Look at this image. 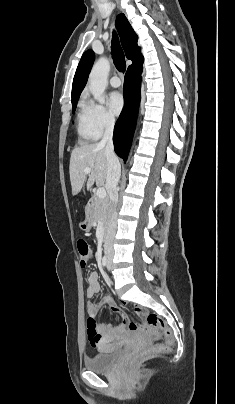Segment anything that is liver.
<instances>
[{"mask_svg":"<svg viewBox=\"0 0 235 404\" xmlns=\"http://www.w3.org/2000/svg\"><path fill=\"white\" fill-rule=\"evenodd\" d=\"M86 168H91L90 174H85L84 170ZM69 174L73 196L81 191L87 175V190L95 182L98 186H106L107 159L105 146L96 143L74 148L70 157Z\"/></svg>","mask_w":235,"mask_h":404,"instance_id":"6515ba94","label":"liver"}]
</instances>
